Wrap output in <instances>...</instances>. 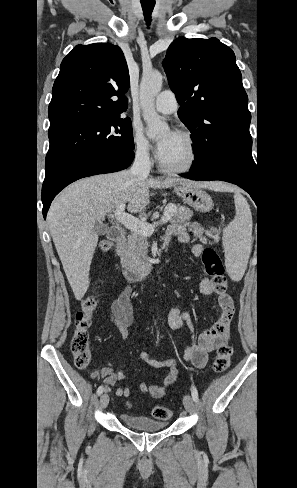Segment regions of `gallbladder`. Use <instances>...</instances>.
Listing matches in <instances>:
<instances>
[{"mask_svg":"<svg viewBox=\"0 0 297 488\" xmlns=\"http://www.w3.org/2000/svg\"><path fill=\"white\" fill-rule=\"evenodd\" d=\"M94 230L98 235H105L108 231V226L106 224L97 222L95 224Z\"/></svg>","mask_w":297,"mask_h":488,"instance_id":"bac80fb5","label":"gallbladder"}]
</instances>
